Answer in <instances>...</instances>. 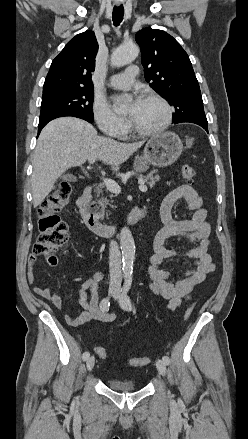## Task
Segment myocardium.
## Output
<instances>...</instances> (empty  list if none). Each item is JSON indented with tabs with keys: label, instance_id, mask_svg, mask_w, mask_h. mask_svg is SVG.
I'll return each instance as SVG.
<instances>
[{
	"label": "myocardium",
	"instance_id": "obj_1",
	"mask_svg": "<svg viewBox=\"0 0 248 439\" xmlns=\"http://www.w3.org/2000/svg\"><path fill=\"white\" fill-rule=\"evenodd\" d=\"M144 99H148V100H155L157 102H159L165 109L166 112V116L165 119L163 121V123L161 125H159L156 128L153 129H149V130H144L139 128L130 118L128 119V123H129V128L130 130L138 135V136H143V137H147V136H151L157 133H161L163 131H165L172 123L173 120V108L172 106L169 104V102L164 99L162 96L155 94V93H149L147 94Z\"/></svg>",
	"mask_w": 248,
	"mask_h": 439
}]
</instances>
